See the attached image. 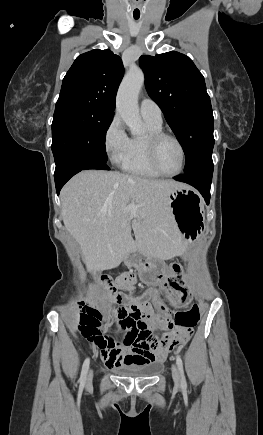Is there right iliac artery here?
<instances>
[{
  "instance_id": "1",
  "label": "right iliac artery",
  "mask_w": 263,
  "mask_h": 435,
  "mask_svg": "<svg viewBox=\"0 0 263 435\" xmlns=\"http://www.w3.org/2000/svg\"><path fill=\"white\" fill-rule=\"evenodd\" d=\"M89 364H90V359L87 358L82 366V371H81V376H80V384L81 386H84L86 383V378H87V372L89 369Z\"/></svg>"
}]
</instances>
